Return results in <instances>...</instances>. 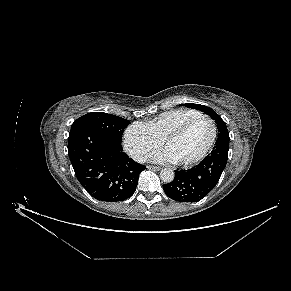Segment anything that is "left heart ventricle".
I'll return each mask as SVG.
<instances>
[{"mask_svg": "<svg viewBox=\"0 0 291 291\" xmlns=\"http://www.w3.org/2000/svg\"><path fill=\"white\" fill-rule=\"evenodd\" d=\"M211 138V125L206 120L194 123L180 137L167 143L166 148L176 161H187L199 155Z\"/></svg>", "mask_w": 291, "mask_h": 291, "instance_id": "b2bd125f", "label": "left heart ventricle"}]
</instances>
